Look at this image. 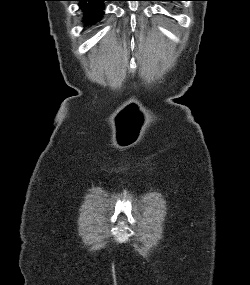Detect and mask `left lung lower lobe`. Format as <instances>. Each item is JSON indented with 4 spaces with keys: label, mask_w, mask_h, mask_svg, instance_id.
Listing matches in <instances>:
<instances>
[{
    "label": "left lung lower lobe",
    "mask_w": 250,
    "mask_h": 285,
    "mask_svg": "<svg viewBox=\"0 0 250 285\" xmlns=\"http://www.w3.org/2000/svg\"><path fill=\"white\" fill-rule=\"evenodd\" d=\"M160 1H182V0H160Z\"/></svg>",
    "instance_id": "0a47b994"
}]
</instances>
